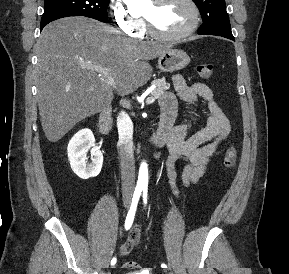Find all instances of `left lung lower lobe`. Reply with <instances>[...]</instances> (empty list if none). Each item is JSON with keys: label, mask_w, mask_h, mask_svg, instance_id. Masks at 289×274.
Returning a JSON list of instances; mask_svg holds the SVG:
<instances>
[{"label": "left lung lower lobe", "mask_w": 289, "mask_h": 274, "mask_svg": "<svg viewBox=\"0 0 289 274\" xmlns=\"http://www.w3.org/2000/svg\"><path fill=\"white\" fill-rule=\"evenodd\" d=\"M225 38H228V39H231V40L234 41V37H233V36H227V37H225Z\"/></svg>", "instance_id": "left-lung-lower-lobe-1"}]
</instances>
